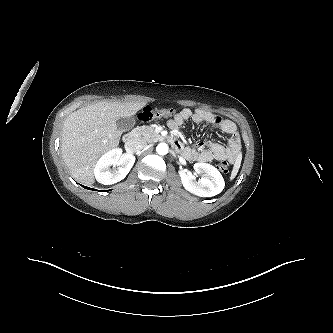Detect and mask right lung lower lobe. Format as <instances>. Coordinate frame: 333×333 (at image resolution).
<instances>
[{
  "mask_svg": "<svg viewBox=\"0 0 333 333\" xmlns=\"http://www.w3.org/2000/svg\"><path fill=\"white\" fill-rule=\"evenodd\" d=\"M84 188L86 189H89V190H96V189H92V188H89V187H86V186H83Z\"/></svg>",
  "mask_w": 333,
  "mask_h": 333,
  "instance_id": "98d812e1",
  "label": "right lung lower lobe"
}]
</instances>
